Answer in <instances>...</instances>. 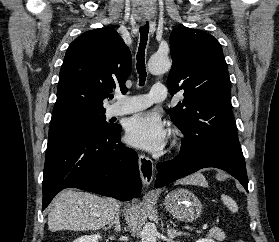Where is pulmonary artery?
I'll return each mask as SVG.
<instances>
[{"mask_svg": "<svg viewBox=\"0 0 279 242\" xmlns=\"http://www.w3.org/2000/svg\"><path fill=\"white\" fill-rule=\"evenodd\" d=\"M166 98V87L154 84L148 94L124 96L118 98V103L111 106V116H121L138 112L149 107L153 103L161 102Z\"/></svg>", "mask_w": 279, "mask_h": 242, "instance_id": "e3ab8cb5", "label": "pulmonary artery"}]
</instances>
